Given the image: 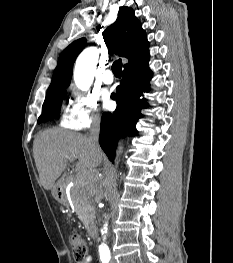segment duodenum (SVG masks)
I'll use <instances>...</instances> for the list:
<instances>
[{"mask_svg":"<svg viewBox=\"0 0 233 263\" xmlns=\"http://www.w3.org/2000/svg\"><path fill=\"white\" fill-rule=\"evenodd\" d=\"M89 236H90L92 239H96V238H97V228H96V226L91 225V226L89 227Z\"/></svg>","mask_w":233,"mask_h":263,"instance_id":"duodenum-1","label":"duodenum"}]
</instances>
